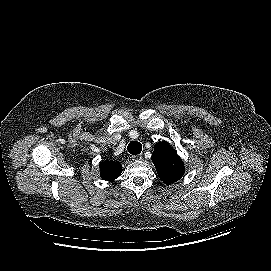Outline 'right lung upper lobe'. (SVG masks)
Listing matches in <instances>:
<instances>
[{"label":"right lung upper lobe","mask_w":271,"mask_h":271,"mask_svg":"<svg viewBox=\"0 0 271 271\" xmlns=\"http://www.w3.org/2000/svg\"><path fill=\"white\" fill-rule=\"evenodd\" d=\"M122 172V166L119 162L102 161L100 163V173L103 180L114 181Z\"/></svg>","instance_id":"1"}]
</instances>
